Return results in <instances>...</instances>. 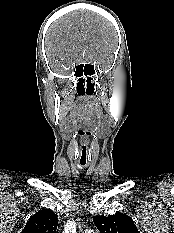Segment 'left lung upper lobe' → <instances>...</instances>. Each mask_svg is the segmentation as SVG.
Here are the masks:
<instances>
[{"mask_svg": "<svg viewBox=\"0 0 174 233\" xmlns=\"http://www.w3.org/2000/svg\"><path fill=\"white\" fill-rule=\"evenodd\" d=\"M93 222L100 233H140L132 218L123 213L94 216Z\"/></svg>", "mask_w": 174, "mask_h": 233, "instance_id": "left-lung-upper-lobe-1", "label": "left lung upper lobe"}]
</instances>
